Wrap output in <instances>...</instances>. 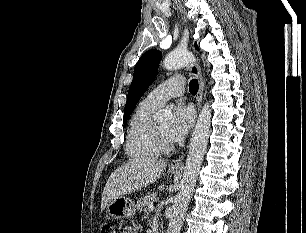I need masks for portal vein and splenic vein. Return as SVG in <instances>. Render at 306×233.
<instances>
[{
    "mask_svg": "<svg viewBox=\"0 0 306 233\" xmlns=\"http://www.w3.org/2000/svg\"><path fill=\"white\" fill-rule=\"evenodd\" d=\"M148 210H149V211L154 210V205H153V204L148 205Z\"/></svg>",
    "mask_w": 306,
    "mask_h": 233,
    "instance_id": "obj_1",
    "label": "portal vein and splenic vein"
}]
</instances>
